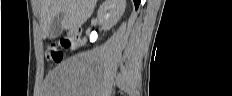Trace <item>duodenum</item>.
Masks as SVG:
<instances>
[{"label": "duodenum", "instance_id": "1", "mask_svg": "<svg viewBox=\"0 0 232 96\" xmlns=\"http://www.w3.org/2000/svg\"><path fill=\"white\" fill-rule=\"evenodd\" d=\"M67 36H68V39L72 43L73 49H77L79 46V42H80L81 30L80 29L70 30L67 33Z\"/></svg>", "mask_w": 232, "mask_h": 96}]
</instances>
